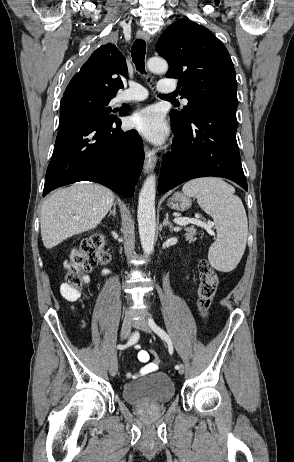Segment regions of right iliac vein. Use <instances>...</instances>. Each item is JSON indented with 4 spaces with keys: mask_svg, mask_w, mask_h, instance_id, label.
<instances>
[{
    "mask_svg": "<svg viewBox=\"0 0 294 462\" xmlns=\"http://www.w3.org/2000/svg\"><path fill=\"white\" fill-rule=\"evenodd\" d=\"M131 328H132V321L130 317H126L122 323L121 338H126L130 334ZM117 370H118V360H117L116 354H113V356L111 357V361H110L109 372L112 376H115L117 374Z\"/></svg>",
    "mask_w": 294,
    "mask_h": 462,
    "instance_id": "63e3f726",
    "label": "right iliac vein"
}]
</instances>
